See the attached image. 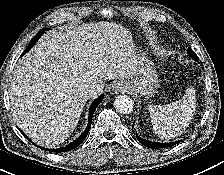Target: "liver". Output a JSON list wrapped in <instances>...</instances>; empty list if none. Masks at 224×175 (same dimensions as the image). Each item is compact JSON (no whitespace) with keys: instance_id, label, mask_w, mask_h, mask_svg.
<instances>
[{"instance_id":"1","label":"liver","mask_w":224,"mask_h":175,"mask_svg":"<svg viewBox=\"0 0 224 175\" xmlns=\"http://www.w3.org/2000/svg\"><path fill=\"white\" fill-rule=\"evenodd\" d=\"M131 32L112 22L52 30L16 65L10 87L13 118L35 143L55 147L69 138L87 102V86L137 73ZM95 97V96H94Z\"/></svg>"}]
</instances>
